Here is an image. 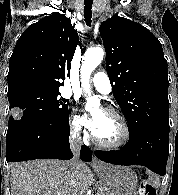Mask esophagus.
Segmentation results:
<instances>
[{"instance_id":"1","label":"esophagus","mask_w":178,"mask_h":195,"mask_svg":"<svg viewBox=\"0 0 178 195\" xmlns=\"http://www.w3.org/2000/svg\"><path fill=\"white\" fill-rule=\"evenodd\" d=\"M92 165L93 166H103V163L100 162L96 157H94L92 160Z\"/></svg>"}]
</instances>
